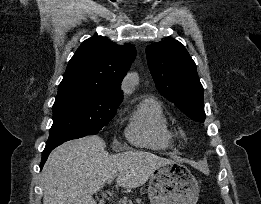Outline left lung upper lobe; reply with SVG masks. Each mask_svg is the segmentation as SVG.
I'll return each instance as SVG.
<instances>
[{
    "label": "left lung upper lobe",
    "instance_id": "left-lung-upper-lobe-1",
    "mask_svg": "<svg viewBox=\"0 0 261 204\" xmlns=\"http://www.w3.org/2000/svg\"><path fill=\"white\" fill-rule=\"evenodd\" d=\"M148 66L156 87L194 121L204 122V90L196 64L179 41L166 39L146 47Z\"/></svg>",
    "mask_w": 261,
    "mask_h": 204
}]
</instances>
